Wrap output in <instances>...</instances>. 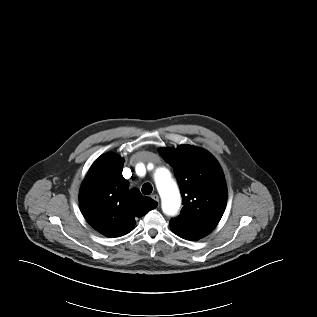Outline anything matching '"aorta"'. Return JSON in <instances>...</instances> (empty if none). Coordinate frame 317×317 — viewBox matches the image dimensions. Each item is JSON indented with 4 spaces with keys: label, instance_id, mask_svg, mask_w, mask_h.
<instances>
[{
    "label": "aorta",
    "instance_id": "762f6f07",
    "mask_svg": "<svg viewBox=\"0 0 317 317\" xmlns=\"http://www.w3.org/2000/svg\"><path fill=\"white\" fill-rule=\"evenodd\" d=\"M153 178L161 195L163 212L169 216L176 215L181 206V196L170 169L165 166L157 167Z\"/></svg>",
    "mask_w": 317,
    "mask_h": 317
}]
</instances>
